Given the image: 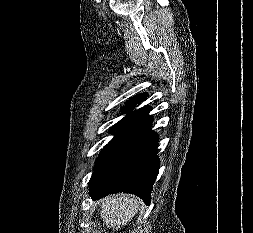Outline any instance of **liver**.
<instances>
[{
    "label": "liver",
    "instance_id": "6515ba94",
    "mask_svg": "<svg viewBox=\"0 0 253 233\" xmlns=\"http://www.w3.org/2000/svg\"><path fill=\"white\" fill-rule=\"evenodd\" d=\"M141 201L131 195L108 196L100 201V216L108 228H121L137 214Z\"/></svg>",
    "mask_w": 253,
    "mask_h": 233
}]
</instances>
